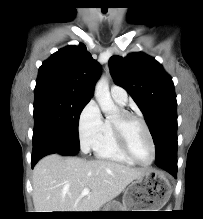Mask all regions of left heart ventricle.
I'll return each mask as SVG.
<instances>
[{
  "label": "left heart ventricle",
  "mask_w": 203,
  "mask_h": 219,
  "mask_svg": "<svg viewBox=\"0 0 203 219\" xmlns=\"http://www.w3.org/2000/svg\"><path fill=\"white\" fill-rule=\"evenodd\" d=\"M128 141L133 155L147 163L152 158V148L148 136L139 121H132L128 126Z\"/></svg>",
  "instance_id": "1"
}]
</instances>
